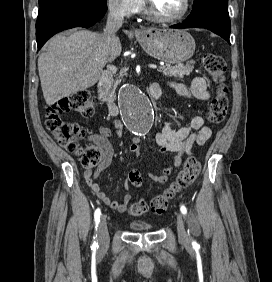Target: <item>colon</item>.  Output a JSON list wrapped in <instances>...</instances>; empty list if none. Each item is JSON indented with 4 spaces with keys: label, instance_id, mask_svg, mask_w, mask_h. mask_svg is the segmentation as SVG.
I'll return each instance as SVG.
<instances>
[{
    "label": "colon",
    "instance_id": "1",
    "mask_svg": "<svg viewBox=\"0 0 272 282\" xmlns=\"http://www.w3.org/2000/svg\"><path fill=\"white\" fill-rule=\"evenodd\" d=\"M203 66L212 77L217 88L207 112V119L210 123L217 124L224 119L228 111L227 88L224 84L226 64L222 57L207 54L203 58ZM66 112H77L83 117H91L94 113V101L90 93L80 91L57 101L48 108L45 123L59 146L67 152L78 155L83 167L90 169L97 166L102 160L101 148L97 145L80 146L79 141L84 138L85 131L79 124L63 119L61 115ZM199 171L200 162L195 157L188 158L176 180L168 188L152 198L149 203L144 200L136 201L130 206L129 213L133 216L147 212L162 215L174 195L191 185ZM129 181L133 186L138 187L142 183V178L137 172L133 171L129 174Z\"/></svg>",
    "mask_w": 272,
    "mask_h": 282
}]
</instances>
